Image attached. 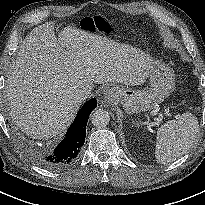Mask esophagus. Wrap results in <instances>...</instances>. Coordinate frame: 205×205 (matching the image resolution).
Listing matches in <instances>:
<instances>
[{
  "label": "esophagus",
  "mask_w": 205,
  "mask_h": 205,
  "mask_svg": "<svg viewBox=\"0 0 205 205\" xmlns=\"http://www.w3.org/2000/svg\"><path fill=\"white\" fill-rule=\"evenodd\" d=\"M110 93H111V91H110V89H108V88H105V89L103 90V94L105 95V97H108V98H109Z\"/></svg>",
  "instance_id": "obj_1"
}]
</instances>
